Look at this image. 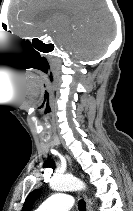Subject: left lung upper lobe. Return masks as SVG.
I'll return each instance as SVG.
<instances>
[{"instance_id": "5c2ea615", "label": "left lung upper lobe", "mask_w": 133, "mask_h": 211, "mask_svg": "<svg viewBox=\"0 0 133 211\" xmlns=\"http://www.w3.org/2000/svg\"><path fill=\"white\" fill-rule=\"evenodd\" d=\"M40 193H41L40 189H37V190H34L33 192H31L25 200L22 211H30L34 201L40 195Z\"/></svg>"}]
</instances>
